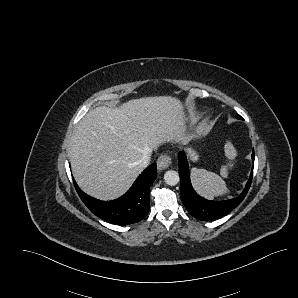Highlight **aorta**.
I'll use <instances>...</instances> for the list:
<instances>
[{
    "mask_svg": "<svg viewBox=\"0 0 298 298\" xmlns=\"http://www.w3.org/2000/svg\"><path fill=\"white\" fill-rule=\"evenodd\" d=\"M163 180L167 185L175 186L179 183L180 176L176 170L170 169L164 172Z\"/></svg>",
    "mask_w": 298,
    "mask_h": 298,
    "instance_id": "obj_1",
    "label": "aorta"
}]
</instances>
